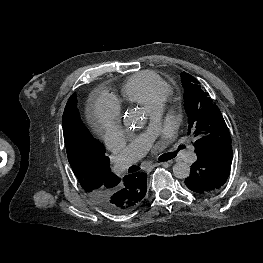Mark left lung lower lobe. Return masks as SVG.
<instances>
[{
    "mask_svg": "<svg viewBox=\"0 0 263 263\" xmlns=\"http://www.w3.org/2000/svg\"><path fill=\"white\" fill-rule=\"evenodd\" d=\"M232 164L231 144L220 145L212 150L197 154L191 166L186 186L197 194H209L218 190L228 179Z\"/></svg>",
    "mask_w": 263,
    "mask_h": 263,
    "instance_id": "obj_1",
    "label": "left lung lower lobe"
}]
</instances>
